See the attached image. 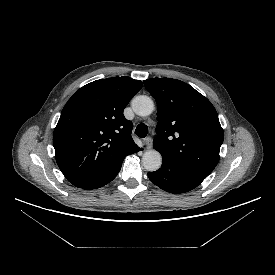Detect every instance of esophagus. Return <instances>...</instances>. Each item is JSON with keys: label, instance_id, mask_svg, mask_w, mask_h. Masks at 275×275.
<instances>
[{"label": "esophagus", "instance_id": "obj_1", "mask_svg": "<svg viewBox=\"0 0 275 275\" xmlns=\"http://www.w3.org/2000/svg\"><path fill=\"white\" fill-rule=\"evenodd\" d=\"M144 144L146 145L147 149H151L152 148V138L151 137L145 138Z\"/></svg>", "mask_w": 275, "mask_h": 275}]
</instances>
